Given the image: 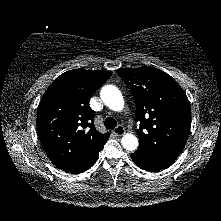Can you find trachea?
<instances>
[{"instance_id": "trachea-1", "label": "trachea", "mask_w": 221, "mask_h": 221, "mask_svg": "<svg viewBox=\"0 0 221 221\" xmlns=\"http://www.w3.org/2000/svg\"><path fill=\"white\" fill-rule=\"evenodd\" d=\"M104 125L108 129H114L117 126V122L112 117H107L104 121Z\"/></svg>"}]
</instances>
